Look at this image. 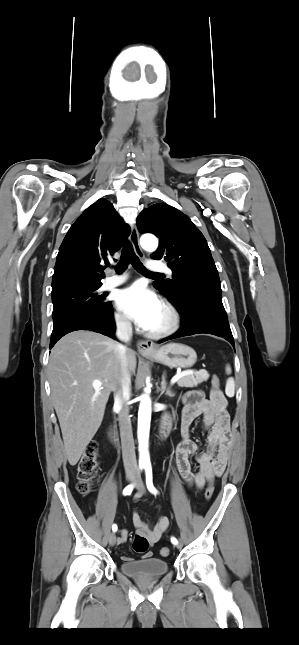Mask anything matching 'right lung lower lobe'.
I'll use <instances>...</instances> for the list:
<instances>
[{
    "mask_svg": "<svg viewBox=\"0 0 299 645\" xmlns=\"http://www.w3.org/2000/svg\"><path fill=\"white\" fill-rule=\"evenodd\" d=\"M76 330H90L114 337L115 323L112 305L104 311L84 312L74 315L53 327L50 348L64 335Z\"/></svg>",
    "mask_w": 299,
    "mask_h": 645,
    "instance_id": "obj_1",
    "label": "right lung lower lobe"
}]
</instances>
